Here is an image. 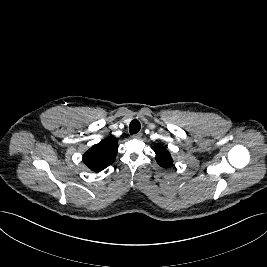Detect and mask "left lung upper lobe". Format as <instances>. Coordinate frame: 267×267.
<instances>
[{"instance_id": "1", "label": "left lung upper lobe", "mask_w": 267, "mask_h": 267, "mask_svg": "<svg viewBox=\"0 0 267 267\" xmlns=\"http://www.w3.org/2000/svg\"><path fill=\"white\" fill-rule=\"evenodd\" d=\"M156 161L163 168H169L172 166L173 160L168 150L162 145H157L156 150Z\"/></svg>"}]
</instances>
